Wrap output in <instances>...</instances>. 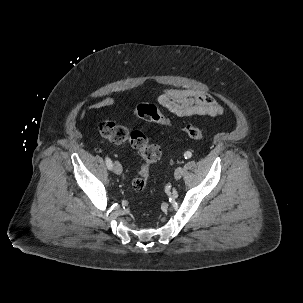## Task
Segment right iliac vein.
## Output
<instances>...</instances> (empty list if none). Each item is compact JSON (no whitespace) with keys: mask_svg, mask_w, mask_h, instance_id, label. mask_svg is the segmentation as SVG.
Masks as SVG:
<instances>
[{"mask_svg":"<svg viewBox=\"0 0 303 303\" xmlns=\"http://www.w3.org/2000/svg\"><path fill=\"white\" fill-rule=\"evenodd\" d=\"M113 170L117 175H120L122 173V166L119 162H114Z\"/></svg>","mask_w":303,"mask_h":303,"instance_id":"right-iliac-vein-1","label":"right iliac vein"}]
</instances>
